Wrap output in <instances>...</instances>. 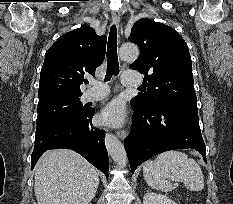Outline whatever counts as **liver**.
Masks as SVG:
<instances>
[{"label": "liver", "instance_id": "liver-1", "mask_svg": "<svg viewBox=\"0 0 233 204\" xmlns=\"http://www.w3.org/2000/svg\"><path fill=\"white\" fill-rule=\"evenodd\" d=\"M98 185L95 167L69 149L46 151L35 166L38 204H88Z\"/></svg>", "mask_w": 233, "mask_h": 204}]
</instances>
